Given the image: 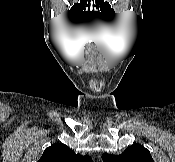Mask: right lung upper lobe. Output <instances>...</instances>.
Returning a JSON list of instances; mask_svg holds the SVG:
<instances>
[{
    "label": "right lung upper lobe",
    "mask_w": 175,
    "mask_h": 162,
    "mask_svg": "<svg viewBox=\"0 0 175 162\" xmlns=\"http://www.w3.org/2000/svg\"><path fill=\"white\" fill-rule=\"evenodd\" d=\"M38 162H92V159L88 155L75 154L62 143H56L45 149Z\"/></svg>",
    "instance_id": "cb5924a9"
}]
</instances>
